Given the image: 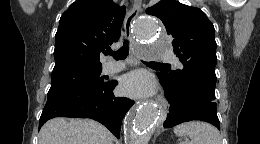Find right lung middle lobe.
Instances as JSON below:
<instances>
[{
	"label": "right lung middle lobe",
	"instance_id": "dd1d6c3e",
	"mask_svg": "<svg viewBox=\"0 0 260 144\" xmlns=\"http://www.w3.org/2000/svg\"><path fill=\"white\" fill-rule=\"evenodd\" d=\"M102 66H69L53 70L49 92L69 88L98 89L106 85L100 76Z\"/></svg>",
	"mask_w": 260,
	"mask_h": 144
}]
</instances>
